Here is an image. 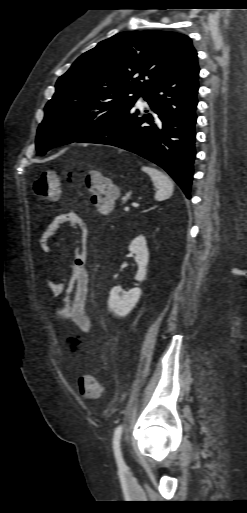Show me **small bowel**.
<instances>
[{
    "mask_svg": "<svg viewBox=\"0 0 247 513\" xmlns=\"http://www.w3.org/2000/svg\"><path fill=\"white\" fill-rule=\"evenodd\" d=\"M70 225L79 235L77 248L71 263V275L67 281L47 280L46 286L49 294L61 298V304L54 308L53 313L60 320H70L83 335H89L92 329L90 316L86 309V297L89 288V274L86 269L88 229L85 221L75 212L56 215L41 234L39 244L44 252H50L52 241L56 238L64 225ZM69 299L66 300V295ZM72 336V340L80 349L85 345Z\"/></svg>",
    "mask_w": 247,
    "mask_h": 513,
    "instance_id": "1",
    "label": "small bowel"
}]
</instances>
